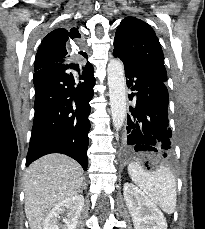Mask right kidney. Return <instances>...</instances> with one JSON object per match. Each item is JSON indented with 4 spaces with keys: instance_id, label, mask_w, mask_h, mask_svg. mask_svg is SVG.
I'll return each instance as SVG.
<instances>
[{
    "instance_id": "1",
    "label": "right kidney",
    "mask_w": 205,
    "mask_h": 229,
    "mask_svg": "<svg viewBox=\"0 0 205 229\" xmlns=\"http://www.w3.org/2000/svg\"><path fill=\"white\" fill-rule=\"evenodd\" d=\"M83 206L84 197L82 195L60 201L47 215L43 229H76ZM60 220L64 224H61Z\"/></svg>"
}]
</instances>
